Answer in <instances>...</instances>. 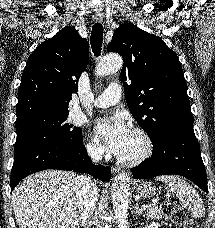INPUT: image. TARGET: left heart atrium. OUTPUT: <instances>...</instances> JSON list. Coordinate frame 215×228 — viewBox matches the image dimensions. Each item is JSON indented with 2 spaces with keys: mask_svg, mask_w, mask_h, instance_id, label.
Returning <instances> with one entry per match:
<instances>
[{
  "mask_svg": "<svg viewBox=\"0 0 215 228\" xmlns=\"http://www.w3.org/2000/svg\"><path fill=\"white\" fill-rule=\"evenodd\" d=\"M95 133L106 142L110 152L118 157L126 152L132 138V131L122 114L98 120Z\"/></svg>",
  "mask_w": 215,
  "mask_h": 228,
  "instance_id": "left-heart-atrium-1",
  "label": "left heart atrium"
}]
</instances>
